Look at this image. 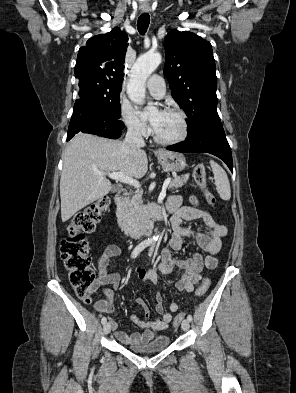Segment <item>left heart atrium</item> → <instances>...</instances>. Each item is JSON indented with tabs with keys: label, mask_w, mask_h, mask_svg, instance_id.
Wrapping results in <instances>:
<instances>
[{
	"label": "left heart atrium",
	"mask_w": 296,
	"mask_h": 393,
	"mask_svg": "<svg viewBox=\"0 0 296 393\" xmlns=\"http://www.w3.org/2000/svg\"><path fill=\"white\" fill-rule=\"evenodd\" d=\"M164 113V111L159 112L160 115H162ZM155 125V123H153V126Z\"/></svg>",
	"instance_id": "1"
}]
</instances>
